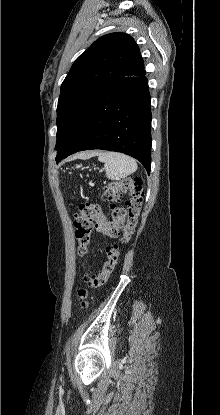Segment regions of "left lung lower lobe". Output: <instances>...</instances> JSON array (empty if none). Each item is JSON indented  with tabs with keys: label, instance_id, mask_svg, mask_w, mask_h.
I'll use <instances>...</instances> for the list:
<instances>
[{
	"label": "left lung lower lobe",
	"instance_id": "1",
	"mask_svg": "<svg viewBox=\"0 0 220 415\" xmlns=\"http://www.w3.org/2000/svg\"><path fill=\"white\" fill-rule=\"evenodd\" d=\"M145 70L114 80L85 118L70 147L56 161L78 151H117L139 160L150 174L151 106Z\"/></svg>",
	"mask_w": 220,
	"mask_h": 415
}]
</instances>
